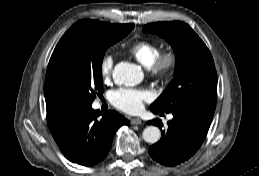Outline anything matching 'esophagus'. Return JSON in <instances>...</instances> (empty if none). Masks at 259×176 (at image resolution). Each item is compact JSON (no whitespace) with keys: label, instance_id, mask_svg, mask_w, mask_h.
Returning <instances> with one entry per match:
<instances>
[{"label":"esophagus","instance_id":"34e87169","mask_svg":"<svg viewBox=\"0 0 259 176\" xmlns=\"http://www.w3.org/2000/svg\"><path fill=\"white\" fill-rule=\"evenodd\" d=\"M131 124H133V125H140V124H142V120L140 118H133L131 120Z\"/></svg>","mask_w":259,"mask_h":176}]
</instances>
